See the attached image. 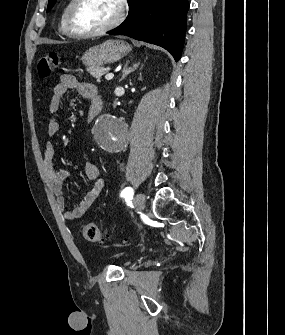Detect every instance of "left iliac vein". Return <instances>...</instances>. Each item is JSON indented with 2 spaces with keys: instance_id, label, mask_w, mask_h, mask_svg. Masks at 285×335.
Masks as SVG:
<instances>
[{
  "instance_id": "obj_1",
  "label": "left iliac vein",
  "mask_w": 285,
  "mask_h": 335,
  "mask_svg": "<svg viewBox=\"0 0 285 335\" xmlns=\"http://www.w3.org/2000/svg\"><path fill=\"white\" fill-rule=\"evenodd\" d=\"M145 202H146V199H145V196L142 193H138L134 197V200H133L134 207L137 210H144V208H145Z\"/></svg>"
}]
</instances>
